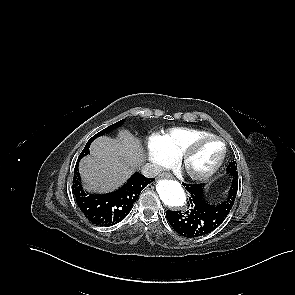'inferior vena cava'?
Segmentation results:
<instances>
[{
    "label": "inferior vena cava",
    "mask_w": 295,
    "mask_h": 295,
    "mask_svg": "<svg viewBox=\"0 0 295 295\" xmlns=\"http://www.w3.org/2000/svg\"><path fill=\"white\" fill-rule=\"evenodd\" d=\"M161 171L162 167L153 163H147L142 167V174L149 178L157 176Z\"/></svg>",
    "instance_id": "602c4592"
}]
</instances>
